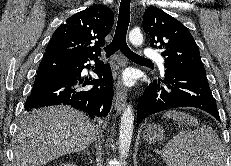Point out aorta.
<instances>
[{
	"instance_id": "1",
	"label": "aorta",
	"mask_w": 231,
	"mask_h": 166,
	"mask_svg": "<svg viewBox=\"0 0 231 166\" xmlns=\"http://www.w3.org/2000/svg\"><path fill=\"white\" fill-rule=\"evenodd\" d=\"M129 40L134 46H140L143 43V35L139 30H132L129 33ZM134 129V112L130 105H127L123 111L120 123L119 133V152L120 158L126 159L130 150L131 140Z\"/></svg>"
}]
</instances>
